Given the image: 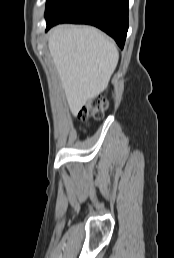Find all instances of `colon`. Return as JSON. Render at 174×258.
<instances>
[{"label": "colon", "instance_id": "colon-1", "mask_svg": "<svg viewBox=\"0 0 174 258\" xmlns=\"http://www.w3.org/2000/svg\"><path fill=\"white\" fill-rule=\"evenodd\" d=\"M106 108V100L100 97H95L80 108L78 111V118L84 122H87L90 119L98 120L102 118Z\"/></svg>", "mask_w": 174, "mask_h": 258}]
</instances>
